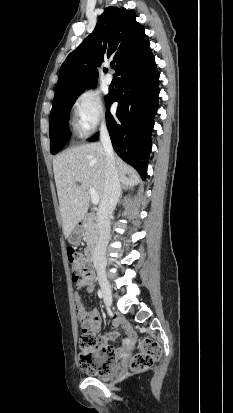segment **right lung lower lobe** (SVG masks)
Returning <instances> with one entry per match:
<instances>
[{
  "instance_id": "obj_1",
  "label": "right lung lower lobe",
  "mask_w": 233,
  "mask_h": 413,
  "mask_svg": "<svg viewBox=\"0 0 233 413\" xmlns=\"http://www.w3.org/2000/svg\"><path fill=\"white\" fill-rule=\"evenodd\" d=\"M116 73L121 76V86L106 99L108 131L116 153L145 179L159 95V74L150 43L126 59ZM112 102L119 103L116 115L109 110Z\"/></svg>"
}]
</instances>
